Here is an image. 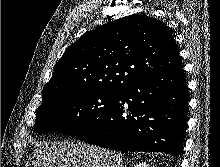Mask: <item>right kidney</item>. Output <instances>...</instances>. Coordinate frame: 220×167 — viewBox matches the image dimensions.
I'll use <instances>...</instances> for the list:
<instances>
[{
    "instance_id": "1",
    "label": "right kidney",
    "mask_w": 220,
    "mask_h": 167,
    "mask_svg": "<svg viewBox=\"0 0 220 167\" xmlns=\"http://www.w3.org/2000/svg\"><path fill=\"white\" fill-rule=\"evenodd\" d=\"M134 167H149V165L146 164L145 162H142V163L135 165Z\"/></svg>"
}]
</instances>
